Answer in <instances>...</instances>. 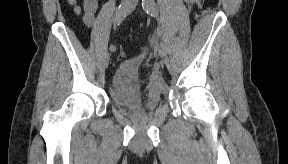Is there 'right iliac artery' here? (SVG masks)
<instances>
[{"label": "right iliac artery", "instance_id": "82829eb1", "mask_svg": "<svg viewBox=\"0 0 288 164\" xmlns=\"http://www.w3.org/2000/svg\"><path fill=\"white\" fill-rule=\"evenodd\" d=\"M126 15H127V13L125 11H123L120 8L118 9V11L116 12V15L114 17V28H116L117 26H119L122 23V21L124 20ZM109 49L111 52H115L116 46L114 44H111Z\"/></svg>", "mask_w": 288, "mask_h": 164}]
</instances>
